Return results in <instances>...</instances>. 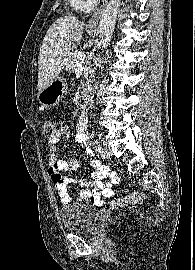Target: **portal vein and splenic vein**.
Segmentation results:
<instances>
[{
	"label": "portal vein and splenic vein",
	"mask_w": 195,
	"mask_h": 270,
	"mask_svg": "<svg viewBox=\"0 0 195 270\" xmlns=\"http://www.w3.org/2000/svg\"><path fill=\"white\" fill-rule=\"evenodd\" d=\"M75 59L78 61V62H81L85 59V54L82 53V52H76L75 53Z\"/></svg>",
	"instance_id": "obj_1"
}]
</instances>
